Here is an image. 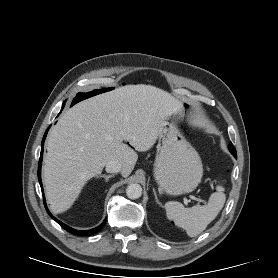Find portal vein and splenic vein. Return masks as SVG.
I'll return each instance as SVG.
<instances>
[{"instance_id":"18ae733b","label":"portal vein and splenic vein","mask_w":278,"mask_h":278,"mask_svg":"<svg viewBox=\"0 0 278 278\" xmlns=\"http://www.w3.org/2000/svg\"><path fill=\"white\" fill-rule=\"evenodd\" d=\"M189 197H190L192 200H195V201H197V202H202V203H204L203 200H201V199H199V198H197V197H195V196L190 195ZM187 203H188V201L185 200V204H187Z\"/></svg>"}]
</instances>
